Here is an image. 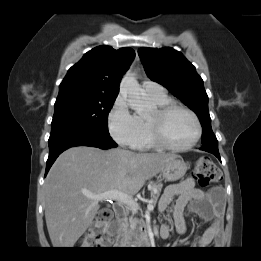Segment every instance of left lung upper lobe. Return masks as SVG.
I'll return each instance as SVG.
<instances>
[{"label":"left lung upper lobe","mask_w":261,"mask_h":261,"mask_svg":"<svg viewBox=\"0 0 261 261\" xmlns=\"http://www.w3.org/2000/svg\"><path fill=\"white\" fill-rule=\"evenodd\" d=\"M138 54L147 76L196 113L202 125V145H218L211 128L208 95L195 67L172 48H140Z\"/></svg>","instance_id":"left-lung-upper-lobe-1"}]
</instances>
